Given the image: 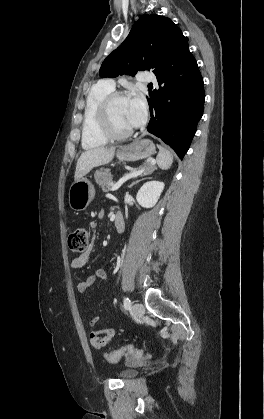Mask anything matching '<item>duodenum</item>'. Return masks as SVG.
Returning <instances> with one entry per match:
<instances>
[{"label": "duodenum", "mask_w": 264, "mask_h": 419, "mask_svg": "<svg viewBox=\"0 0 264 419\" xmlns=\"http://www.w3.org/2000/svg\"><path fill=\"white\" fill-rule=\"evenodd\" d=\"M114 227L117 232H122L124 230V220L120 214L115 216Z\"/></svg>", "instance_id": "1"}]
</instances>
